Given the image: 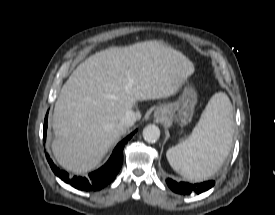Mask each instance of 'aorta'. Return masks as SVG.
Here are the masks:
<instances>
[{
	"mask_svg": "<svg viewBox=\"0 0 275 215\" xmlns=\"http://www.w3.org/2000/svg\"><path fill=\"white\" fill-rule=\"evenodd\" d=\"M160 137L158 126L149 124L143 129V138L148 143H155Z\"/></svg>",
	"mask_w": 275,
	"mask_h": 215,
	"instance_id": "obj_1",
	"label": "aorta"
}]
</instances>
